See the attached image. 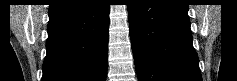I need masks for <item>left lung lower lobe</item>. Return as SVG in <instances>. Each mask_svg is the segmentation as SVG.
<instances>
[{
	"label": "left lung lower lobe",
	"instance_id": "obj_1",
	"mask_svg": "<svg viewBox=\"0 0 237 81\" xmlns=\"http://www.w3.org/2000/svg\"><path fill=\"white\" fill-rule=\"evenodd\" d=\"M139 81H202L184 0H132L128 5Z\"/></svg>",
	"mask_w": 237,
	"mask_h": 81
}]
</instances>
